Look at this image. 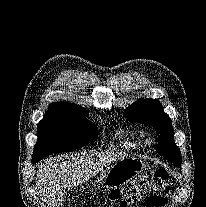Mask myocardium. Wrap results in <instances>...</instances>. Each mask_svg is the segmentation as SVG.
<instances>
[{
	"label": "myocardium",
	"mask_w": 206,
	"mask_h": 207,
	"mask_svg": "<svg viewBox=\"0 0 206 207\" xmlns=\"http://www.w3.org/2000/svg\"><path fill=\"white\" fill-rule=\"evenodd\" d=\"M147 142L150 144V143L153 142V139H152L151 137H148V138H147Z\"/></svg>",
	"instance_id": "obj_1"
}]
</instances>
